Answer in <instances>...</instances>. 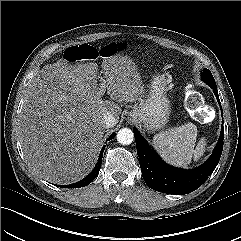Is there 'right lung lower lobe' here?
Here are the masks:
<instances>
[{
	"mask_svg": "<svg viewBox=\"0 0 241 241\" xmlns=\"http://www.w3.org/2000/svg\"><path fill=\"white\" fill-rule=\"evenodd\" d=\"M114 136H115V133H112L107 140L109 141L110 139L114 138ZM103 152H104V150L102 149L101 152H100V156H99V159H98V162H97L95 168L93 169V171L88 176H86L84 179H82L81 181H79L77 183L70 184V185H63V186L59 185V187H63V188H80V187H84L86 185H89L97 177V175L99 173L100 165L102 163Z\"/></svg>",
	"mask_w": 241,
	"mask_h": 241,
	"instance_id": "obj_1",
	"label": "right lung lower lobe"
}]
</instances>
